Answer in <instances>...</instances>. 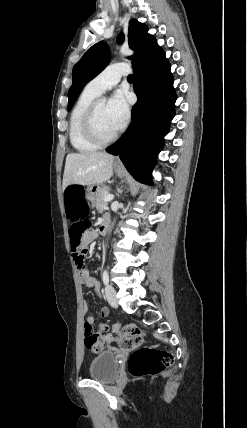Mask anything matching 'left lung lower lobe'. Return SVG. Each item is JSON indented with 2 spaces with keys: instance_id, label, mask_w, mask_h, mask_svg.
<instances>
[{
  "instance_id": "left-lung-lower-lobe-1",
  "label": "left lung lower lobe",
  "mask_w": 247,
  "mask_h": 428,
  "mask_svg": "<svg viewBox=\"0 0 247 428\" xmlns=\"http://www.w3.org/2000/svg\"><path fill=\"white\" fill-rule=\"evenodd\" d=\"M170 64L161 50L134 68L138 97L132 120L119 142L106 151L119 155L127 170L142 183L152 185L151 173L174 117L176 94Z\"/></svg>"
}]
</instances>
